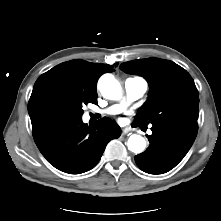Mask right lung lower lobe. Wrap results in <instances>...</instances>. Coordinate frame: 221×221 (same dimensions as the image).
Returning <instances> with one entry per match:
<instances>
[{"instance_id":"right-lung-lower-lobe-1","label":"right lung lower lobe","mask_w":221,"mask_h":221,"mask_svg":"<svg viewBox=\"0 0 221 221\" xmlns=\"http://www.w3.org/2000/svg\"><path fill=\"white\" fill-rule=\"evenodd\" d=\"M120 135V127L106 117L94 126L84 124L82 117H61L33 129L42 155L55 168L70 174L92 169L101 159L107 143Z\"/></svg>"}]
</instances>
